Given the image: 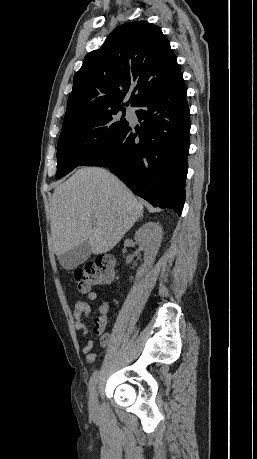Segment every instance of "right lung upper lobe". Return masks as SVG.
<instances>
[{
    "mask_svg": "<svg viewBox=\"0 0 257 459\" xmlns=\"http://www.w3.org/2000/svg\"><path fill=\"white\" fill-rule=\"evenodd\" d=\"M181 74L161 29L145 20L116 28L90 52L74 76L62 129L120 105L128 91L135 106ZM136 93V94H135Z\"/></svg>",
    "mask_w": 257,
    "mask_h": 459,
    "instance_id": "cb5924a9",
    "label": "right lung upper lobe"
}]
</instances>
